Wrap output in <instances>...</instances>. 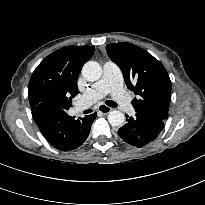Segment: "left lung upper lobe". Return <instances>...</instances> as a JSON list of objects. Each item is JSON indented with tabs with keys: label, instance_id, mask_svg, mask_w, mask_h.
Returning a JSON list of instances; mask_svg holds the SVG:
<instances>
[{
	"label": "left lung upper lobe",
	"instance_id": "obj_1",
	"mask_svg": "<svg viewBox=\"0 0 205 205\" xmlns=\"http://www.w3.org/2000/svg\"><path fill=\"white\" fill-rule=\"evenodd\" d=\"M106 51L121 68L127 87L139 96L132 101L136 113L167 119L171 80L164 66L131 43L108 44Z\"/></svg>",
	"mask_w": 205,
	"mask_h": 205
}]
</instances>
